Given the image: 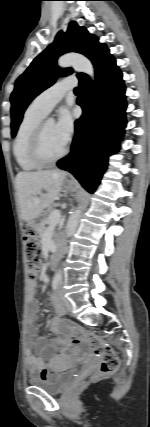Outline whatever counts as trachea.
Instances as JSON below:
<instances>
[{"label":"trachea","mask_w":150,"mask_h":427,"mask_svg":"<svg viewBox=\"0 0 150 427\" xmlns=\"http://www.w3.org/2000/svg\"><path fill=\"white\" fill-rule=\"evenodd\" d=\"M80 91V89L78 88V87H76L75 89H74V92L75 93H78Z\"/></svg>","instance_id":"trachea-1"}]
</instances>
